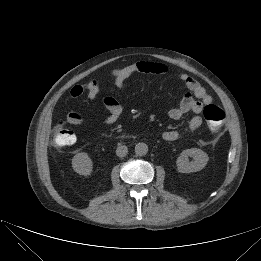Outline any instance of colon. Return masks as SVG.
<instances>
[{
    "instance_id": "5ec220e1",
    "label": "colon",
    "mask_w": 261,
    "mask_h": 261,
    "mask_svg": "<svg viewBox=\"0 0 261 261\" xmlns=\"http://www.w3.org/2000/svg\"><path fill=\"white\" fill-rule=\"evenodd\" d=\"M204 118L212 131H218L225 123V112L214 104L207 105L203 110ZM76 140L74 131L67 128L64 122H58L53 130L52 143L56 148L72 145Z\"/></svg>"
}]
</instances>
